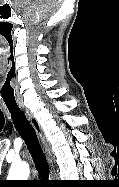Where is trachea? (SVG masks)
Returning a JSON list of instances; mask_svg holds the SVG:
<instances>
[{"mask_svg":"<svg viewBox=\"0 0 119 187\" xmlns=\"http://www.w3.org/2000/svg\"><path fill=\"white\" fill-rule=\"evenodd\" d=\"M7 108L11 113V118L16 130L23 137L29 149L39 175L42 178L47 179L49 177V165L38 141L35 129L27 120L24 112L18 105L7 104Z\"/></svg>","mask_w":119,"mask_h":187,"instance_id":"1","label":"trachea"}]
</instances>
